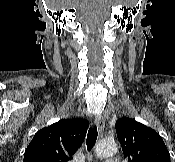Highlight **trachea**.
I'll list each match as a JSON object with an SVG mask.
<instances>
[{
  "mask_svg": "<svg viewBox=\"0 0 175 162\" xmlns=\"http://www.w3.org/2000/svg\"><path fill=\"white\" fill-rule=\"evenodd\" d=\"M97 136H98L97 127L96 126L91 127L88 131L87 139H86V145H87L88 151L92 150L93 146L96 143Z\"/></svg>",
  "mask_w": 175,
  "mask_h": 162,
  "instance_id": "trachea-1",
  "label": "trachea"
}]
</instances>
